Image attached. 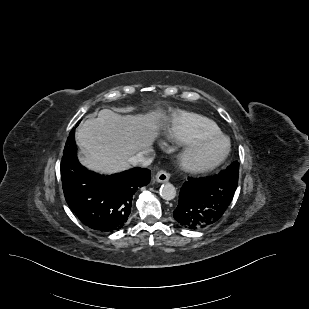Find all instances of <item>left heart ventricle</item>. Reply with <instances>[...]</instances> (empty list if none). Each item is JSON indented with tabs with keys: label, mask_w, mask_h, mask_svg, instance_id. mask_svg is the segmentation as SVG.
Returning <instances> with one entry per match:
<instances>
[{
	"label": "left heart ventricle",
	"mask_w": 309,
	"mask_h": 309,
	"mask_svg": "<svg viewBox=\"0 0 309 309\" xmlns=\"http://www.w3.org/2000/svg\"><path fill=\"white\" fill-rule=\"evenodd\" d=\"M224 144L222 142H214L208 144L201 152L200 158L211 159L222 152Z\"/></svg>",
	"instance_id": "obj_1"
}]
</instances>
